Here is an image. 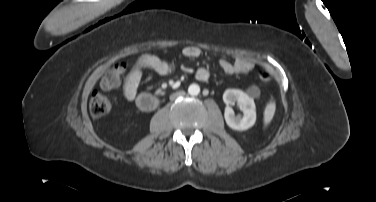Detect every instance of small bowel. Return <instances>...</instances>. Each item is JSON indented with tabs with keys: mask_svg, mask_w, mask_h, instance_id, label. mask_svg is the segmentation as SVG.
Segmentation results:
<instances>
[{
	"mask_svg": "<svg viewBox=\"0 0 376 202\" xmlns=\"http://www.w3.org/2000/svg\"><path fill=\"white\" fill-rule=\"evenodd\" d=\"M182 54L186 58L195 59L200 56L201 50L196 46H186L183 48ZM218 65L227 75H244L254 67V64L247 59H237L234 63L222 59L219 61ZM144 69H151L156 73L165 76L173 72L174 66L153 54H144L140 56L125 78L123 84V93L128 101H134L136 98ZM194 76L199 81L207 82L211 78V72L206 68H198L195 71Z\"/></svg>",
	"mask_w": 376,
	"mask_h": 202,
	"instance_id": "c3829d8e",
	"label": "small bowel"
}]
</instances>
